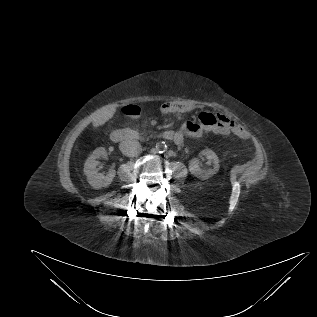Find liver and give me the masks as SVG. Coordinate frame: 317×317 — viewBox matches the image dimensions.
I'll return each mask as SVG.
<instances>
[{"mask_svg": "<svg viewBox=\"0 0 317 317\" xmlns=\"http://www.w3.org/2000/svg\"><path fill=\"white\" fill-rule=\"evenodd\" d=\"M116 112L115 104H108L102 108L96 110L91 115L92 126L98 128L99 126L105 124L109 119H111Z\"/></svg>", "mask_w": 317, "mask_h": 317, "instance_id": "liver-1", "label": "liver"}]
</instances>
